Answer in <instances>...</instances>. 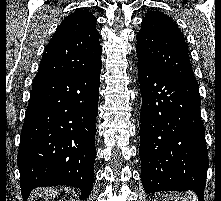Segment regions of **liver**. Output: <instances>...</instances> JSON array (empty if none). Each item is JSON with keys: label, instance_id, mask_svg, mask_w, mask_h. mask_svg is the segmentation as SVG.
I'll return each instance as SVG.
<instances>
[{"label": "liver", "instance_id": "liver-1", "mask_svg": "<svg viewBox=\"0 0 221 201\" xmlns=\"http://www.w3.org/2000/svg\"><path fill=\"white\" fill-rule=\"evenodd\" d=\"M57 194H58V193L56 192L55 189H50V190H49V193H48V192L46 193V196L49 197V198H52V196H53V197H56Z\"/></svg>", "mask_w": 221, "mask_h": 201}]
</instances>
